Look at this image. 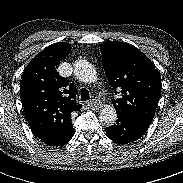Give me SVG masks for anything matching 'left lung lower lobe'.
<instances>
[{
  "mask_svg": "<svg viewBox=\"0 0 183 183\" xmlns=\"http://www.w3.org/2000/svg\"><path fill=\"white\" fill-rule=\"evenodd\" d=\"M149 125L142 119L118 113L116 123L106 128V135L116 143L128 144L142 137Z\"/></svg>",
  "mask_w": 183,
  "mask_h": 183,
  "instance_id": "1",
  "label": "left lung lower lobe"
}]
</instances>
